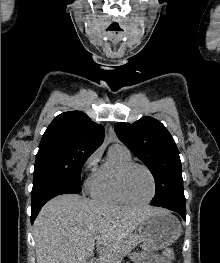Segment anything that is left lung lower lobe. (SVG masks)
I'll use <instances>...</instances> for the list:
<instances>
[{
    "mask_svg": "<svg viewBox=\"0 0 220 263\" xmlns=\"http://www.w3.org/2000/svg\"><path fill=\"white\" fill-rule=\"evenodd\" d=\"M154 206V205H152ZM158 207H162V206H158ZM167 208L169 210L175 211L177 213H179L181 215V217L186 220V209H178V208H171V207H164Z\"/></svg>",
    "mask_w": 220,
    "mask_h": 263,
    "instance_id": "1",
    "label": "left lung lower lobe"
}]
</instances>
